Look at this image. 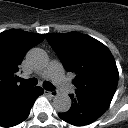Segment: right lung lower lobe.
Masks as SVG:
<instances>
[{
	"instance_id": "1",
	"label": "right lung lower lobe",
	"mask_w": 128,
	"mask_h": 128,
	"mask_svg": "<svg viewBox=\"0 0 128 128\" xmlns=\"http://www.w3.org/2000/svg\"><path fill=\"white\" fill-rule=\"evenodd\" d=\"M43 92L41 87H25L10 96L0 105V126L12 127L24 121L36 98Z\"/></svg>"
}]
</instances>
